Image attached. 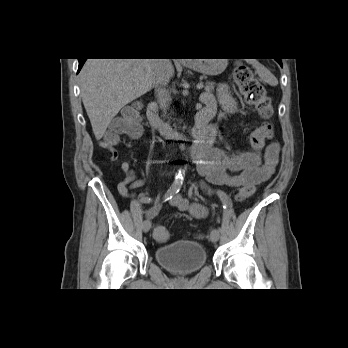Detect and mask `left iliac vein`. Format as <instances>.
<instances>
[{
    "label": "left iliac vein",
    "mask_w": 348,
    "mask_h": 348,
    "mask_svg": "<svg viewBox=\"0 0 348 348\" xmlns=\"http://www.w3.org/2000/svg\"><path fill=\"white\" fill-rule=\"evenodd\" d=\"M219 235L220 234H219L218 229H213L210 233V240L214 243L217 242L219 239Z\"/></svg>",
    "instance_id": "1"
}]
</instances>
